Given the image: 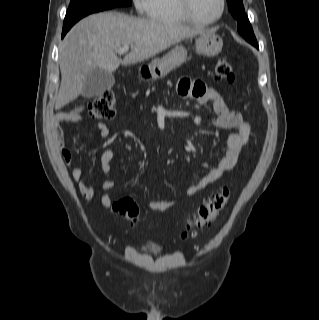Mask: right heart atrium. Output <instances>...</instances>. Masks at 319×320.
I'll return each mask as SVG.
<instances>
[{
    "mask_svg": "<svg viewBox=\"0 0 319 320\" xmlns=\"http://www.w3.org/2000/svg\"><path fill=\"white\" fill-rule=\"evenodd\" d=\"M132 1L135 9L139 13L144 14V13H148L153 0H132Z\"/></svg>",
    "mask_w": 319,
    "mask_h": 320,
    "instance_id": "obj_1",
    "label": "right heart atrium"
}]
</instances>
